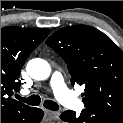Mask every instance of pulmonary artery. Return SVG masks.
<instances>
[{"label":"pulmonary artery","instance_id":"e3ab8cb5","mask_svg":"<svg viewBox=\"0 0 123 123\" xmlns=\"http://www.w3.org/2000/svg\"><path fill=\"white\" fill-rule=\"evenodd\" d=\"M50 86L57 100L63 105L72 109H79L82 107L79 99L76 98L66 87L63 76L59 72H54L51 75Z\"/></svg>","mask_w":123,"mask_h":123}]
</instances>
